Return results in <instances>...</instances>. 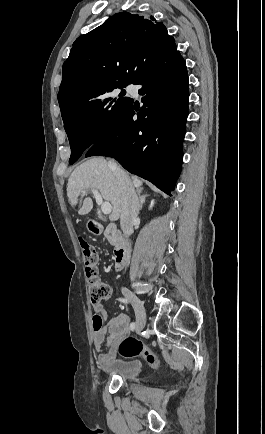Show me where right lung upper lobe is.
<instances>
[{
	"instance_id": "right-lung-upper-lobe-1",
	"label": "right lung upper lobe",
	"mask_w": 265,
	"mask_h": 434,
	"mask_svg": "<svg viewBox=\"0 0 265 434\" xmlns=\"http://www.w3.org/2000/svg\"><path fill=\"white\" fill-rule=\"evenodd\" d=\"M175 48L166 26L153 16L116 13L73 43L63 64L58 98L105 80L133 83L150 64Z\"/></svg>"
}]
</instances>
